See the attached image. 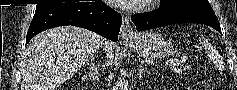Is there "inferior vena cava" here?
I'll list each match as a JSON object with an SVG mask.
<instances>
[{"instance_id": "602c4592", "label": "inferior vena cava", "mask_w": 237, "mask_h": 90, "mask_svg": "<svg viewBox=\"0 0 237 90\" xmlns=\"http://www.w3.org/2000/svg\"><path fill=\"white\" fill-rule=\"evenodd\" d=\"M107 66H111V62H110V64L108 62ZM105 70H106V66H102V68H101L102 74H105Z\"/></svg>"}]
</instances>
